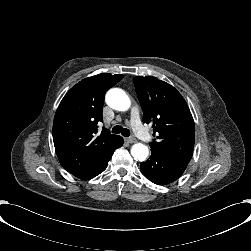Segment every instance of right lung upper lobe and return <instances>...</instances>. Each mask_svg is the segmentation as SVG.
Masks as SVG:
<instances>
[{"instance_id": "obj_1", "label": "right lung upper lobe", "mask_w": 251, "mask_h": 251, "mask_svg": "<svg viewBox=\"0 0 251 251\" xmlns=\"http://www.w3.org/2000/svg\"><path fill=\"white\" fill-rule=\"evenodd\" d=\"M123 75L101 73L81 80L64 96L53 122V141L62 167L86 180L102 170L124 140L103 128L102 108L106 91Z\"/></svg>"}]
</instances>
